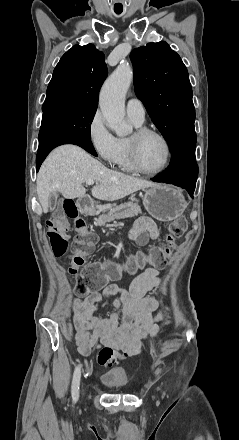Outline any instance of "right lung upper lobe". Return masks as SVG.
Wrapping results in <instances>:
<instances>
[{
    "label": "right lung upper lobe",
    "mask_w": 239,
    "mask_h": 440,
    "mask_svg": "<svg viewBox=\"0 0 239 440\" xmlns=\"http://www.w3.org/2000/svg\"><path fill=\"white\" fill-rule=\"evenodd\" d=\"M106 77L103 52L93 44L75 45L55 67L44 104L62 101L97 109L98 93Z\"/></svg>",
    "instance_id": "obj_1"
}]
</instances>
